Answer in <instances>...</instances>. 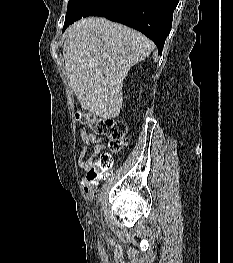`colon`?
<instances>
[{"label": "colon", "mask_w": 233, "mask_h": 263, "mask_svg": "<svg viewBox=\"0 0 233 263\" xmlns=\"http://www.w3.org/2000/svg\"><path fill=\"white\" fill-rule=\"evenodd\" d=\"M77 118L81 123L88 125L94 133L104 135L109 139V151L102 153L93 162L86 175V179L90 184H95L98 180H107V174L114 167L113 155L119 153L128 144L127 128L120 121L100 118L90 114L78 113Z\"/></svg>", "instance_id": "obj_1"}]
</instances>
